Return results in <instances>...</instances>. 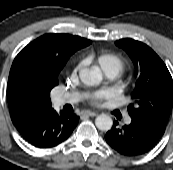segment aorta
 I'll list each match as a JSON object with an SVG mask.
<instances>
[{
    "instance_id": "762f6f07",
    "label": "aorta",
    "mask_w": 173,
    "mask_h": 170,
    "mask_svg": "<svg viewBox=\"0 0 173 170\" xmlns=\"http://www.w3.org/2000/svg\"><path fill=\"white\" fill-rule=\"evenodd\" d=\"M79 77L82 83L88 86L97 85L102 79L99 73L88 68L80 70ZM95 125L101 131H108L112 128L113 121L109 115L101 114L96 117Z\"/></svg>"
}]
</instances>
